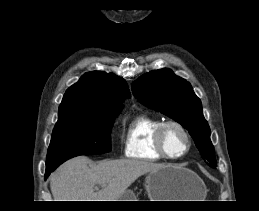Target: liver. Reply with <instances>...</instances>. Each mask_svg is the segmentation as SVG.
<instances>
[{"mask_svg":"<svg viewBox=\"0 0 259 211\" xmlns=\"http://www.w3.org/2000/svg\"><path fill=\"white\" fill-rule=\"evenodd\" d=\"M163 166L137 159L94 164L86 156H78L51 175V193L54 201H117L137 178ZM95 185L101 186V190L95 192Z\"/></svg>","mask_w":259,"mask_h":211,"instance_id":"obj_1","label":"liver"}]
</instances>
